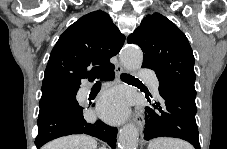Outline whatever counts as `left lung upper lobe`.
<instances>
[{
	"mask_svg": "<svg viewBox=\"0 0 227 149\" xmlns=\"http://www.w3.org/2000/svg\"><path fill=\"white\" fill-rule=\"evenodd\" d=\"M127 41L141 47L142 67L155 71L159 92L173 90L195 99L194 56L187 37L174 23L159 13L147 15Z\"/></svg>",
	"mask_w": 227,
	"mask_h": 149,
	"instance_id": "1",
	"label": "left lung upper lobe"
}]
</instances>
